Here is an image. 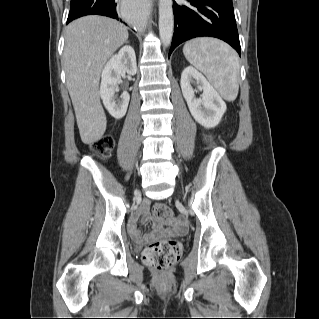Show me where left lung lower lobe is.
Returning a JSON list of instances; mask_svg holds the SVG:
<instances>
[{
	"mask_svg": "<svg viewBox=\"0 0 319 319\" xmlns=\"http://www.w3.org/2000/svg\"><path fill=\"white\" fill-rule=\"evenodd\" d=\"M188 4H173L174 34L169 56L182 42L210 36L230 44L240 55V42L233 5L225 0H186Z\"/></svg>",
	"mask_w": 319,
	"mask_h": 319,
	"instance_id": "left-lung-lower-lobe-1",
	"label": "left lung lower lobe"
}]
</instances>
